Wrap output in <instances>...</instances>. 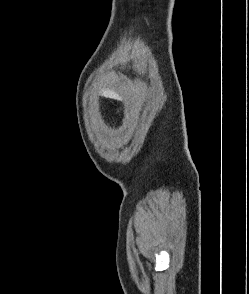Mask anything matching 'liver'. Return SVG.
Masks as SVG:
<instances>
[{"label": "liver", "instance_id": "6515ba94", "mask_svg": "<svg viewBox=\"0 0 249 294\" xmlns=\"http://www.w3.org/2000/svg\"><path fill=\"white\" fill-rule=\"evenodd\" d=\"M104 93L106 95H109V96H112V97H118V95L115 92H113L112 90H104Z\"/></svg>", "mask_w": 249, "mask_h": 294}]
</instances>
